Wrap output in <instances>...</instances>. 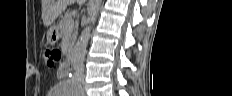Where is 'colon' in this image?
I'll use <instances>...</instances> for the list:
<instances>
[{"instance_id": "colon-1", "label": "colon", "mask_w": 232, "mask_h": 96, "mask_svg": "<svg viewBox=\"0 0 232 96\" xmlns=\"http://www.w3.org/2000/svg\"><path fill=\"white\" fill-rule=\"evenodd\" d=\"M45 57L49 65H54L60 60L61 53L58 49L51 48L46 50Z\"/></svg>"}]
</instances>
